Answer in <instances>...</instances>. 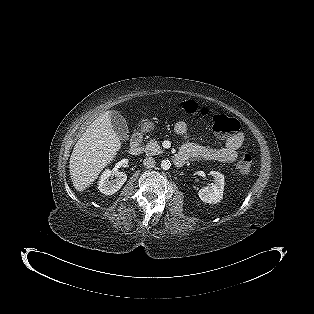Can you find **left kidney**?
<instances>
[{
  "label": "left kidney",
  "mask_w": 314,
  "mask_h": 314,
  "mask_svg": "<svg viewBox=\"0 0 314 314\" xmlns=\"http://www.w3.org/2000/svg\"><path fill=\"white\" fill-rule=\"evenodd\" d=\"M210 175L214 178V183L200 189L198 195L204 203L215 204L223 198L224 175L217 171H210Z\"/></svg>",
  "instance_id": "left-kidney-1"
}]
</instances>
